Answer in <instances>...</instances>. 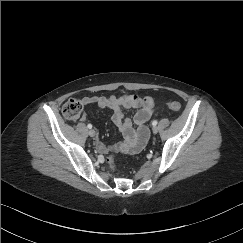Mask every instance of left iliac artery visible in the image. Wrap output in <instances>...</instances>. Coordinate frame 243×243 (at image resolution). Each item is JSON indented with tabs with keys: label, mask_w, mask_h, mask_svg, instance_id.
I'll use <instances>...</instances> for the list:
<instances>
[{
	"label": "left iliac artery",
	"mask_w": 243,
	"mask_h": 243,
	"mask_svg": "<svg viewBox=\"0 0 243 243\" xmlns=\"http://www.w3.org/2000/svg\"><path fill=\"white\" fill-rule=\"evenodd\" d=\"M157 123H158L157 120H154V121L152 122V125H153V126H156Z\"/></svg>",
	"instance_id": "left-iliac-artery-1"
}]
</instances>
